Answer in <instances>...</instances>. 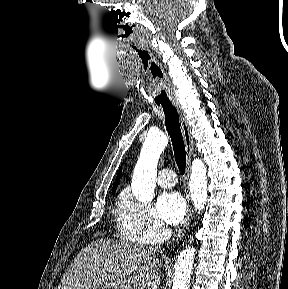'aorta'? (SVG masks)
<instances>
[{"instance_id": "aorta-1", "label": "aorta", "mask_w": 288, "mask_h": 289, "mask_svg": "<svg viewBox=\"0 0 288 289\" xmlns=\"http://www.w3.org/2000/svg\"><path fill=\"white\" fill-rule=\"evenodd\" d=\"M167 143L163 133L149 134L145 139L131 184L134 196L141 202L154 198L157 164ZM189 190L195 210L203 211L207 200V175L206 166L198 158L192 163ZM195 252L194 247H187L178 255L172 289H189Z\"/></svg>"}]
</instances>
